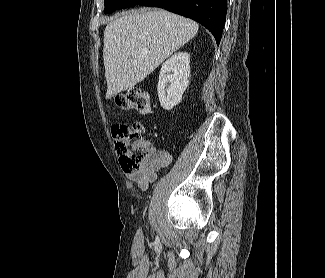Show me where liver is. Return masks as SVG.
Masks as SVG:
<instances>
[{
	"instance_id": "6515ba94",
	"label": "liver",
	"mask_w": 325,
	"mask_h": 278,
	"mask_svg": "<svg viewBox=\"0 0 325 278\" xmlns=\"http://www.w3.org/2000/svg\"><path fill=\"white\" fill-rule=\"evenodd\" d=\"M199 25L162 9L142 8L110 21L104 31L106 98L132 89L192 39Z\"/></svg>"
}]
</instances>
